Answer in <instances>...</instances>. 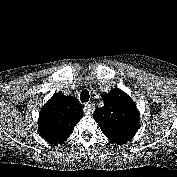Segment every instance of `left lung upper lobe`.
<instances>
[{"label": "left lung upper lobe", "mask_w": 177, "mask_h": 177, "mask_svg": "<svg viewBox=\"0 0 177 177\" xmlns=\"http://www.w3.org/2000/svg\"><path fill=\"white\" fill-rule=\"evenodd\" d=\"M104 106L95 110L93 118L102 133L117 144L131 140L139 128V112L132 99L119 88L102 96Z\"/></svg>", "instance_id": "5c2ea615"}]
</instances>
